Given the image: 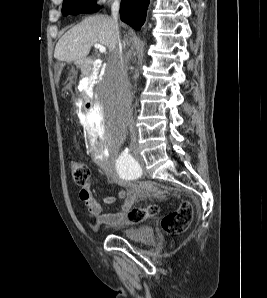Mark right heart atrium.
<instances>
[{
  "instance_id": "d8ad5b80",
  "label": "right heart atrium",
  "mask_w": 267,
  "mask_h": 298,
  "mask_svg": "<svg viewBox=\"0 0 267 298\" xmlns=\"http://www.w3.org/2000/svg\"><path fill=\"white\" fill-rule=\"evenodd\" d=\"M112 1H117V0H96V4L97 6L101 7L103 5H105L108 2H112Z\"/></svg>"
}]
</instances>
